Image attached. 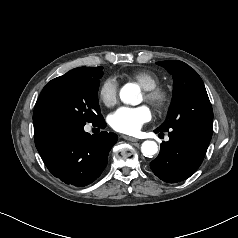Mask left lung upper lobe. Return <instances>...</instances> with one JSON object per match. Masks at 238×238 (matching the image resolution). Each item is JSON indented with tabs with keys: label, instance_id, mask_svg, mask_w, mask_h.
<instances>
[{
	"label": "left lung upper lobe",
	"instance_id": "5c2ea615",
	"mask_svg": "<svg viewBox=\"0 0 238 238\" xmlns=\"http://www.w3.org/2000/svg\"><path fill=\"white\" fill-rule=\"evenodd\" d=\"M173 76V98L167 119L157 129L184 128L212 134L213 110L198 73L182 61L157 62Z\"/></svg>",
	"mask_w": 238,
	"mask_h": 238
}]
</instances>
